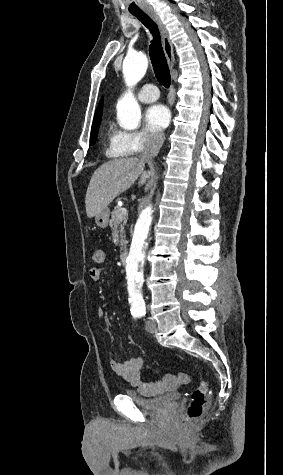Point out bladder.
<instances>
[{"mask_svg":"<svg viewBox=\"0 0 283 475\" xmlns=\"http://www.w3.org/2000/svg\"><path fill=\"white\" fill-rule=\"evenodd\" d=\"M124 395L129 398L135 405L148 410L158 411L165 406H178L180 403V397H176L173 394H166L163 397H148L143 398L139 395L138 391L132 388L124 389Z\"/></svg>","mask_w":283,"mask_h":475,"instance_id":"1","label":"bladder"}]
</instances>
